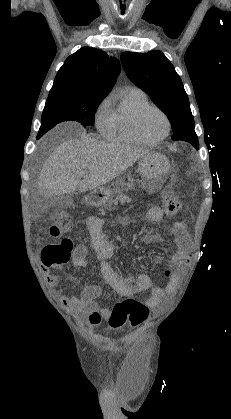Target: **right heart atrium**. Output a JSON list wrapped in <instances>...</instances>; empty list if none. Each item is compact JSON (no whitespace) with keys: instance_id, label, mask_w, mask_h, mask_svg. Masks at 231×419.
<instances>
[{"instance_id":"right-heart-atrium-1","label":"right heart atrium","mask_w":231,"mask_h":419,"mask_svg":"<svg viewBox=\"0 0 231 419\" xmlns=\"http://www.w3.org/2000/svg\"><path fill=\"white\" fill-rule=\"evenodd\" d=\"M112 99L105 97L98 105L95 111V124L98 131L108 137L113 125V113L111 109Z\"/></svg>"}]
</instances>
